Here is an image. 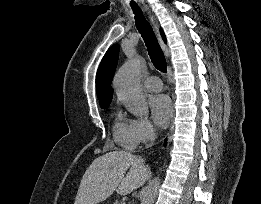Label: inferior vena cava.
<instances>
[{"label":"inferior vena cava","mask_w":261,"mask_h":204,"mask_svg":"<svg viewBox=\"0 0 261 204\" xmlns=\"http://www.w3.org/2000/svg\"><path fill=\"white\" fill-rule=\"evenodd\" d=\"M156 139V134L155 132L152 130L151 131V134H150V145L153 144V142L155 141Z\"/></svg>","instance_id":"obj_1"}]
</instances>
